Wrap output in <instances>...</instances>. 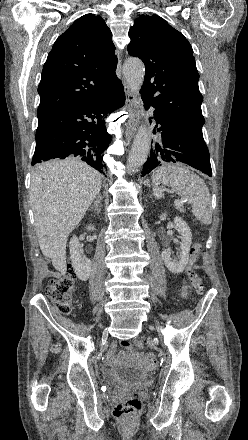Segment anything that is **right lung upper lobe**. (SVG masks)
Wrapping results in <instances>:
<instances>
[{
  "label": "right lung upper lobe",
  "mask_w": 248,
  "mask_h": 440,
  "mask_svg": "<svg viewBox=\"0 0 248 440\" xmlns=\"http://www.w3.org/2000/svg\"><path fill=\"white\" fill-rule=\"evenodd\" d=\"M111 31L100 16L86 14L58 37L38 87V119L77 101L105 94L117 80Z\"/></svg>",
  "instance_id": "1"
}]
</instances>
